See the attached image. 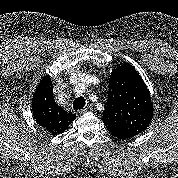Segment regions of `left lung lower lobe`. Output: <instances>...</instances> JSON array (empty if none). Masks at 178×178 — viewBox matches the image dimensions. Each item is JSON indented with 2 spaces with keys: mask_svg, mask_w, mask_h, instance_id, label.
Listing matches in <instances>:
<instances>
[{
  "mask_svg": "<svg viewBox=\"0 0 178 178\" xmlns=\"http://www.w3.org/2000/svg\"><path fill=\"white\" fill-rule=\"evenodd\" d=\"M105 126L109 130L110 133H112L116 137L122 138V139H128L130 137H133V136L139 134V133H136V132H132V131L125 130V129L115 127V126H111V125H105Z\"/></svg>",
  "mask_w": 178,
  "mask_h": 178,
  "instance_id": "left-lung-lower-lobe-1",
  "label": "left lung lower lobe"
}]
</instances>
